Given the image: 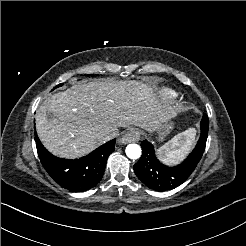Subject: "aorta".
I'll list each match as a JSON object with an SVG mask.
<instances>
[{"instance_id":"1","label":"aorta","mask_w":246,"mask_h":246,"mask_svg":"<svg viewBox=\"0 0 246 246\" xmlns=\"http://www.w3.org/2000/svg\"><path fill=\"white\" fill-rule=\"evenodd\" d=\"M125 152L130 159H138L142 153L141 147L138 144L127 145Z\"/></svg>"}]
</instances>
